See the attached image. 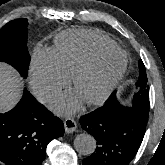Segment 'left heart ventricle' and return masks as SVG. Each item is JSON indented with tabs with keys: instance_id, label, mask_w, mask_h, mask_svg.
I'll list each match as a JSON object with an SVG mask.
<instances>
[{
	"instance_id": "1",
	"label": "left heart ventricle",
	"mask_w": 165,
	"mask_h": 165,
	"mask_svg": "<svg viewBox=\"0 0 165 165\" xmlns=\"http://www.w3.org/2000/svg\"><path fill=\"white\" fill-rule=\"evenodd\" d=\"M122 60L120 54L102 56L90 70L79 78L75 87L76 93L83 100L96 96L110 77L119 69Z\"/></svg>"
}]
</instances>
